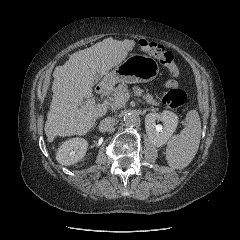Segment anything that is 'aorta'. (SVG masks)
Wrapping results in <instances>:
<instances>
[{
	"instance_id": "obj_1",
	"label": "aorta",
	"mask_w": 240,
	"mask_h": 240,
	"mask_svg": "<svg viewBox=\"0 0 240 240\" xmlns=\"http://www.w3.org/2000/svg\"><path fill=\"white\" fill-rule=\"evenodd\" d=\"M123 121L128 127H133L137 124V116L131 112H127L123 115Z\"/></svg>"
}]
</instances>
